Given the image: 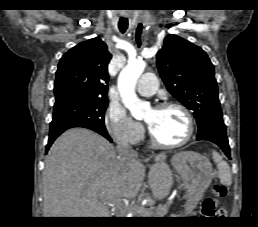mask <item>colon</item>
I'll return each instance as SVG.
<instances>
[{
  "label": "colon",
  "mask_w": 258,
  "mask_h": 227,
  "mask_svg": "<svg viewBox=\"0 0 258 227\" xmlns=\"http://www.w3.org/2000/svg\"><path fill=\"white\" fill-rule=\"evenodd\" d=\"M211 190L216 197L223 198L227 195V187L220 183L213 184Z\"/></svg>",
  "instance_id": "obj_1"
}]
</instances>
